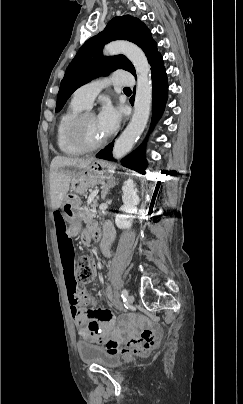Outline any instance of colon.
Masks as SVG:
<instances>
[{
	"instance_id": "1",
	"label": "colon",
	"mask_w": 243,
	"mask_h": 404,
	"mask_svg": "<svg viewBox=\"0 0 243 404\" xmlns=\"http://www.w3.org/2000/svg\"><path fill=\"white\" fill-rule=\"evenodd\" d=\"M95 276L94 267L90 259L86 256H82L77 265V280L81 283H90ZM105 298L113 302V291L110 287H107L104 292ZM71 301L75 304H88L90 298L83 291H76L71 294ZM159 343L158 333L151 328L142 330L139 337L130 342L128 351L131 353L146 354L157 347ZM106 347L109 350L115 351L119 348L118 343L115 340H108Z\"/></svg>"
}]
</instances>
